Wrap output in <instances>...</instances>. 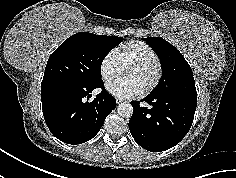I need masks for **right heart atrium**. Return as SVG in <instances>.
<instances>
[{
  "mask_svg": "<svg viewBox=\"0 0 236 178\" xmlns=\"http://www.w3.org/2000/svg\"><path fill=\"white\" fill-rule=\"evenodd\" d=\"M99 72L105 83L113 81L121 74L122 68L113 51L107 52L100 60Z\"/></svg>",
  "mask_w": 236,
  "mask_h": 178,
  "instance_id": "right-heart-atrium-1",
  "label": "right heart atrium"
}]
</instances>
